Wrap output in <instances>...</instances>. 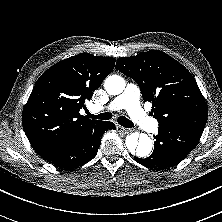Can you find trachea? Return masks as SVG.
Returning <instances> with one entry per match:
<instances>
[{
  "label": "trachea",
  "mask_w": 222,
  "mask_h": 222,
  "mask_svg": "<svg viewBox=\"0 0 222 222\" xmlns=\"http://www.w3.org/2000/svg\"><path fill=\"white\" fill-rule=\"evenodd\" d=\"M87 115H88L89 118L99 119V120H109V119L112 118V114L108 113V112L101 113V114H98V115H94V114H91L90 112L87 111ZM117 121L123 127H126V128L134 127V124L124 116L118 117Z\"/></svg>",
  "instance_id": "obj_1"
}]
</instances>
